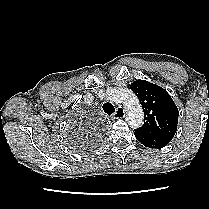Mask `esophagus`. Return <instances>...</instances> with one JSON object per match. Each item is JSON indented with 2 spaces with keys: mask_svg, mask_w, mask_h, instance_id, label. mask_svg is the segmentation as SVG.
I'll use <instances>...</instances> for the list:
<instances>
[{
  "mask_svg": "<svg viewBox=\"0 0 209 209\" xmlns=\"http://www.w3.org/2000/svg\"><path fill=\"white\" fill-rule=\"evenodd\" d=\"M125 116V110L123 107L118 106L116 111L112 114V119H120Z\"/></svg>",
  "mask_w": 209,
  "mask_h": 209,
  "instance_id": "esophagus-1",
  "label": "esophagus"
}]
</instances>
